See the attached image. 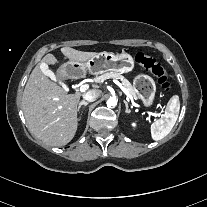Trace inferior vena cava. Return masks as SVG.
Here are the masks:
<instances>
[{"instance_id":"obj_1","label":"inferior vena cava","mask_w":207,"mask_h":207,"mask_svg":"<svg viewBox=\"0 0 207 207\" xmlns=\"http://www.w3.org/2000/svg\"><path fill=\"white\" fill-rule=\"evenodd\" d=\"M87 101H88V102H93V101H95V99H94L92 96H90V97L87 99ZM84 104L87 105L88 103L85 102Z\"/></svg>"}]
</instances>
